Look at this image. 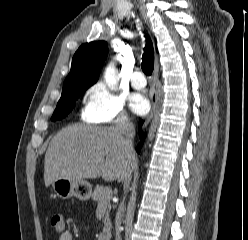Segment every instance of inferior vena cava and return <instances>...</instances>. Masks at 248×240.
Here are the masks:
<instances>
[{"label": "inferior vena cava", "mask_w": 248, "mask_h": 240, "mask_svg": "<svg viewBox=\"0 0 248 240\" xmlns=\"http://www.w3.org/2000/svg\"><path fill=\"white\" fill-rule=\"evenodd\" d=\"M115 128H116L117 131H119L123 135L126 147L129 150H132L133 149L132 140L134 138V133H135L134 125L131 122H129L128 120L121 119L116 123ZM131 175H132V172L130 171L129 173H127L125 175V177L122 180L123 181L124 193H126L128 187H129V183H130V180H131ZM124 199H125V197L123 198V201H122V203H121V205L119 207L120 212L123 211L122 205L124 203ZM116 223H117V226H116L115 240H121V234H120V229H119L120 220L117 221Z\"/></svg>", "instance_id": "1"}]
</instances>
